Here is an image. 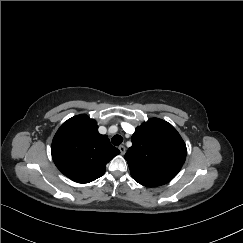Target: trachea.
Returning <instances> with one entry per match:
<instances>
[{
	"label": "trachea",
	"mask_w": 243,
	"mask_h": 243,
	"mask_svg": "<svg viewBox=\"0 0 243 243\" xmlns=\"http://www.w3.org/2000/svg\"><path fill=\"white\" fill-rule=\"evenodd\" d=\"M113 145L119 146L123 142V137L120 135H115L111 139Z\"/></svg>",
	"instance_id": "obj_1"
}]
</instances>
